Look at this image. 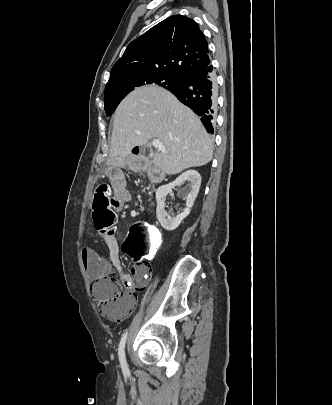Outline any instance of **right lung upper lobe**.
Wrapping results in <instances>:
<instances>
[{"label": "right lung upper lobe", "instance_id": "1", "mask_svg": "<svg viewBox=\"0 0 332 405\" xmlns=\"http://www.w3.org/2000/svg\"><path fill=\"white\" fill-rule=\"evenodd\" d=\"M208 53V43L198 24L188 17L173 15L128 45L113 66L108 83L141 72L183 77L208 65Z\"/></svg>", "mask_w": 332, "mask_h": 405}]
</instances>
